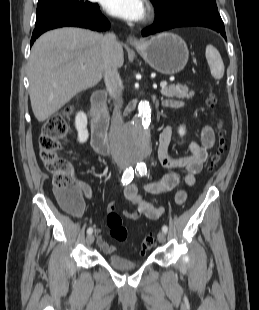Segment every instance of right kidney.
<instances>
[{"mask_svg":"<svg viewBox=\"0 0 259 310\" xmlns=\"http://www.w3.org/2000/svg\"><path fill=\"white\" fill-rule=\"evenodd\" d=\"M75 125L78 131V140L80 143L87 141L89 134L87 130V116L84 112H79L75 118Z\"/></svg>","mask_w":259,"mask_h":310,"instance_id":"obj_1","label":"right kidney"}]
</instances>
